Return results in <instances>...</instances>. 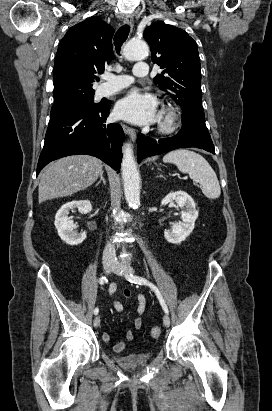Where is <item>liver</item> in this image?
<instances>
[{"mask_svg":"<svg viewBox=\"0 0 272 411\" xmlns=\"http://www.w3.org/2000/svg\"><path fill=\"white\" fill-rule=\"evenodd\" d=\"M101 160L88 155H73L50 163L40 175L39 203L70 196L92 185L100 176Z\"/></svg>","mask_w":272,"mask_h":411,"instance_id":"1","label":"liver"}]
</instances>
